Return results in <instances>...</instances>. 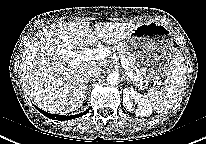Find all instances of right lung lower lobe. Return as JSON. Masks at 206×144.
Returning <instances> with one entry per match:
<instances>
[{"label": "right lung lower lobe", "instance_id": "obj_1", "mask_svg": "<svg viewBox=\"0 0 206 144\" xmlns=\"http://www.w3.org/2000/svg\"><path fill=\"white\" fill-rule=\"evenodd\" d=\"M37 110L39 112H41L43 115H45L46 117L53 119V120H70L73 118H77V117H81L83 115H85L89 110L87 109L86 111H84L83 113L77 114V115H73V116H62V115H57V114H50L47 113L39 108H37Z\"/></svg>", "mask_w": 206, "mask_h": 144}]
</instances>
